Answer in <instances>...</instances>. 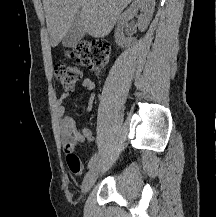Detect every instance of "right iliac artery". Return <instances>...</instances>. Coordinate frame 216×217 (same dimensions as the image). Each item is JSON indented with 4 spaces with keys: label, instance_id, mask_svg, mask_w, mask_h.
Segmentation results:
<instances>
[{
    "label": "right iliac artery",
    "instance_id": "82829eb1",
    "mask_svg": "<svg viewBox=\"0 0 216 217\" xmlns=\"http://www.w3.org/2000/svg\"><path fill=\"white\" fill-rule=\"evenodd\" d=\"M98 159V154H95L89 161L88 163V168H91L97 161Z\"/></svg>",
    "mask_w": 216,
    "mask_h": 217
}]
</instances>
